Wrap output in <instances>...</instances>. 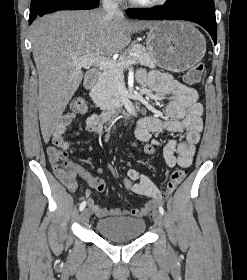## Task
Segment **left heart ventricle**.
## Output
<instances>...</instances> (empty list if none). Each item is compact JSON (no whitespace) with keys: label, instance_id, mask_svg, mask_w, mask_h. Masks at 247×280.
<instances>
[{"label":"left heart ventricle","instance_id":"left-heart-ventricle-1","mask_svg":"<svg viewBox=\"0 0 247 280\" xmlns=\"http://www.w3.org/2000/svg\"><path fill=\"white\" fill-rule=\"evenodd\" d=\"M138 1L146 2V1H150V0H138Z\"/></svg>","mask_w":247,"mask_h":280}]
</instances>
